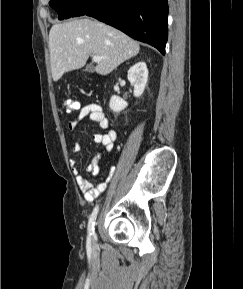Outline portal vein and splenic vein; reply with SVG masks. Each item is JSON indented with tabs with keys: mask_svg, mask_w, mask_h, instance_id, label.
Returning <instances> with one entry per match:
<instances>
[{
	"mask_svg": "<svg viewBox=\"0 0 243 289\" xmlns=\"http://www.w3.org/2000/svg\"><path fill=\"white\" fill-rule=\"evenodd\" d=\"M93 61L95 62V63H99L100 61H102L103 59H106V57H101V56H93Z\"/></svg>",
	"mask_w": 243,
	"mask_h": 289,
	"instance_id": "obj_1",
	"label": "portal vein and splenic vein"
}]
</instances>
